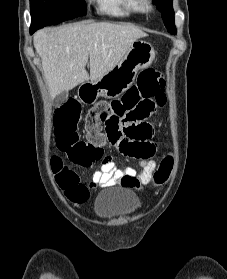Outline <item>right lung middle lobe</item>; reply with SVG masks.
<instances>
[{
  "label": "right lung middle lobe",
  "instance_id": "obj_1",
  "mask_svg": "<svg viewBox=\"0 0 227 279\" xmlns=\"http://www.w3.org/2000/svg\"><path fill=\"white\" fill-rule=\"evenodd\" d=\"M31 27L42 28L86 14L84 0H30Z\"/></svg>",
  "mask_w": 227,
  "mask_h": 279
}]
</instances>
